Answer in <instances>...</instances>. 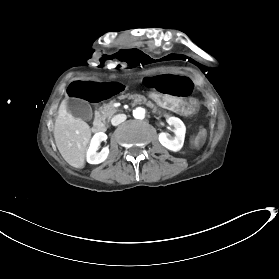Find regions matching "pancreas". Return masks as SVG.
Returning a JSON list of instances; mask_svg holds the SVG:
<instances>
[{"label": "pancreas", "mask_w": 279, "mask_h": 279, "mask_svg": "<svg viewBox=\"0 0 279 279\" xmlns=\"http://www.w3.org/2000/svg\"><path fill=\"white\" fill-rule=\"evenodd\" d=\"M127 98L131 99L134 102H137V104H143L145 106H149V108H153V112L156 114H161V109L158 108V106H155V103H151V101H148L146 99H143L142 95H131V94H125L120 95L117 98L112 99L109 103L103 104V107L100 110V113L102 114L103 119H111L115 113H117L119 110L114 107V103L117 100Z\"/></svg>", "instance_id": "pancreas-1"}]
</instances>
